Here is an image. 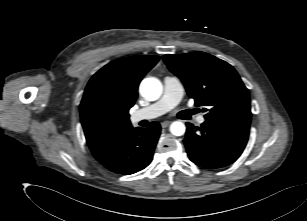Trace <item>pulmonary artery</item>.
<instances>
[{
    "label": "pulmonary artery",
    "instance_id": "1",
    "mask_svg": "<svg viewBox=\"0 0 307 221\" xmlns=\"http://www.w3.org/2000/svg\"><path fill=\"white\" fill-rule=\"evenodd\" d=\"M163 84L164 91L161 98L157 102L135 111L131 115V121L133 123L159 117L175 107L181 101L184 90L181 80L178 77L166 76L163 80ZM197 122L203 124L205 122V117L203 115L198 116Z\"/></svg>",
    "mask_w": 307,
    "mask_h": 221
}]
</instances>
